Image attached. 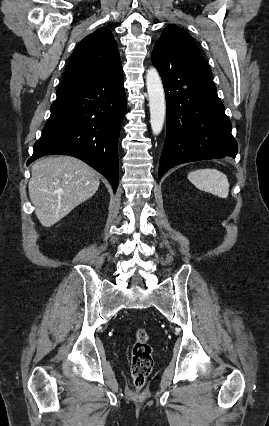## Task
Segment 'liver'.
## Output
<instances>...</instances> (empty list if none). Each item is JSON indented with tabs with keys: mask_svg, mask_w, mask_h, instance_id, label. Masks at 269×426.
<instances>
[{
	"mask_svg": "<svg viewBox=\"0 0 269 426\" xmlns=\"http://www.w3.org/2000/svg\"><path fill=\"white\" fill-rule=\"evenodd\" d=\"M28 189L40 223L50 227L98 190V173L70 156L47 157L31 168Z\"/></svg>",
	"mask_w": 269,
	"mask_h": 426,
	"instance_id": "6515ba94",
	"label": "liver"
}]
</instances>
